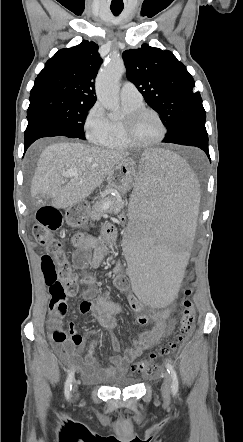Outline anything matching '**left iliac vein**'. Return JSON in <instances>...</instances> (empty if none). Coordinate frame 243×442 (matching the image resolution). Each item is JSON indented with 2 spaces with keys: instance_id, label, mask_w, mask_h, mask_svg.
Here are the masks:
<instances>
[{
  "instance_id": "1",
  "label": "left iliac vein",
  "mask_w": 243,
  "mask_h": 442,
  "mask_svg": "<svg viewBox=\"0 0 243 442\" xmlns=\"http://www.w3.org/2000/svg\"><path fill=\"white\" fill-rule=\"evenodd\" d=\"M170 386H171V379L168 374H164V380L161 387V393L165 400H168L170 397Z\"/></svg>"
}]
</instances>
